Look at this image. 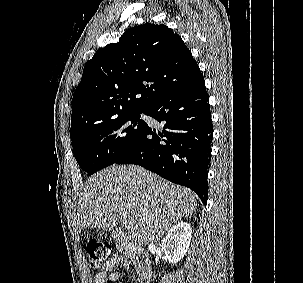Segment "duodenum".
<instances>
[{"instance_id": "obj_1", "label": "duodenum", "mask_w": 303, "mask_h": 283, "mask_svg": "<svg viewBox=\"0 0 303 283\" xmlns=\"http://www.w3.org/2000/svg\"><path fill=\"white\" fill-rule=\"evenodd\" d=\"M114 237L120 246H123L131 252V256L138 268V283H147L151 275V260L149 255L143 250L129 248L127 244V235L121 229H116L114 231Z\"/></svg>"}]
</instances>
